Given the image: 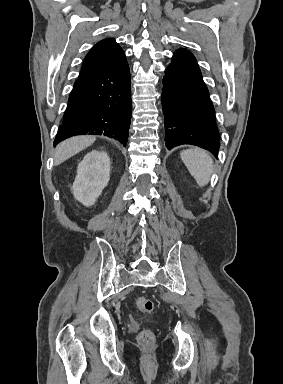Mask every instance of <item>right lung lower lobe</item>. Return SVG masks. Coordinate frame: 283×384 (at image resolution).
<instances>
[{
  "label": "right lung lower lobe",
  "mask_w": 283,
  "mask_h": 384,
  "mask_svg": "<svg viewBox=\"0 0 283 384\" xmlns=\"http://www.w3.org/2000/svg\"><path fill=\"white\" fill-rule=\"evenodd\" d=\"M132 115L127 61L117 68L79 77L68 99L54 145L75 135H105L124 146Z\"/></svg>",
  "instance_id": "98d812e1"
}]
</instances>
